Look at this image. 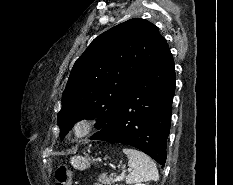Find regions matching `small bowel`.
I'll list each match as a JSON object with an SVG mask.
<instances>
[{
  "label": "small bowel",
  "mask_w": 233,
  "mask_h": 185,
  "mask_svg": "<svg viewBox=\"0 0 233 185\" xmlns=\"http://www.w3.org/2000/svg\"><path fill=\"white\" fill-rule=\"evenodd\" d=\"M94 185H101V184H99V183H96V184H94Z\"/></svg>",
  "instance_id": "small-bowel-1"
}]
</instances>
